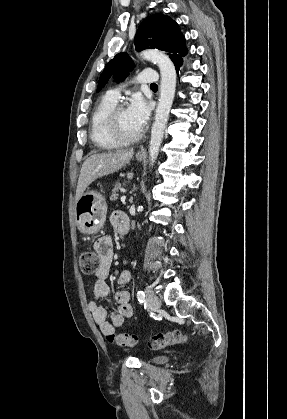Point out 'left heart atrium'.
<instances>
[{
  "label": "left heart atrium",
  "instance_id": "39dd6f15",
  "mask_svg": "<svg viewBox=\"0 0 287 419\" xmlns=\"http://www.w3.org/2000/svg\"><path fill=\"white\" fill-rule=\"evenodd\" d=\"M127 113L133 125L141 131L150 115V106L149 103L144 99L140 94L133 96L128 108Z\"/></svg>",
  "mask_w": 287,
  "mask_h": 419
}]
</instances>
